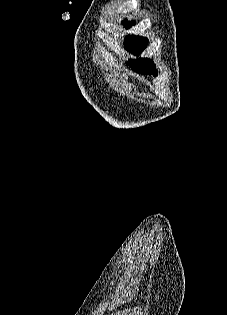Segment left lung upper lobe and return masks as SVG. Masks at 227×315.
Masks as SVG:
<instances>
[{"instance_id":"obj_1","label":"left lung upper lobe","mask_w":227,"mask_h":315,"mask_svg":"<svg viewBox=\"0 0 227 315\" xmlns=\"http://www.w3.org/2000/svg\"><path fill=\"white\" fill-rule=\"evenodd\" d=\"M122 24L125 26L126 29L130 28L132 26V21H123ZM148 42L146 38L140 37V36H135V35H127L126 36V41H125V48L134 53L142 44ZM130 63H133L132 60L128 62V65L130 66ZM138 72V71H137ZM147 74V73H144ZM149 74V73H148ZM152 74V73H150Z\"/></svg>"}]
</instances>
